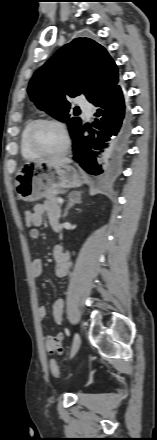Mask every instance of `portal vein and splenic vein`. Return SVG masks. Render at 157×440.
Masks as SVG:
<instances>
[{"mask_svg": "<svg viewBox=\"0 0 157 440\" xmlns=\"http://www.w3.org/2000/svg\"><path fill=\"white\" fill-rule=\"evenodd\" d=\"M63 202H64V200H63L62 198L59 197V198H58V203H59V204H63Z\"/></svg>", "mask_w": 157, "mask_h": 440, "instance_id": "18ae733b", "label": "portal vein and splenic vein"}]
</instances>
